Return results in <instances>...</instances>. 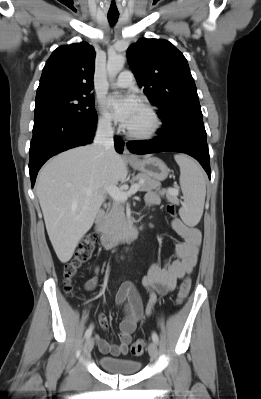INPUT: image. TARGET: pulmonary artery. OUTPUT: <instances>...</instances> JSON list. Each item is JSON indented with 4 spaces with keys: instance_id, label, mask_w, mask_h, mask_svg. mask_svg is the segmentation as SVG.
<instances>
[{
    "instance_id": "1",
    "label": "pulmonary artery",
    "mask_w": 261,
    "mask_h": 399,
    "mask_svg": "<svg viewBox=\"0 0 261 399\" xmlns=\"http://www.w3.org/2000/svg\"><path fill=\"white\" fill-rule=\"evenodd\" d=\"M133 84H134L133 74L130 71L125 70L119 74L113 86L118 88H128L133 86Z\"/></svg>"
}]
</instances>
